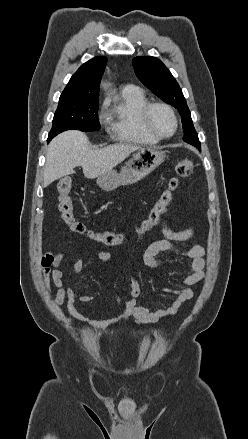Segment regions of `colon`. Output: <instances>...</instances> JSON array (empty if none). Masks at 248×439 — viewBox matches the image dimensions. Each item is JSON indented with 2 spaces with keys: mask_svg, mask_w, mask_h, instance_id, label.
I'll list each match as a JSON object with an SVG mask.
<instances>
[{
  "mask_svg": "<svg viewBox=\"0 0 248 439\" xmlns=\"http://www.w3.org/2000/svg\"><path fill=\"white\" fill-rule=\"evenodd\" d=\"M194 169L192 161L184 159L175 166L174 175L169 179L166 188L161 192L158 200L148 212L146 218L136 229V234H142L157 225L167 211L173 199V192L178 188L180 179L189 177ZM72 182L69 178H62L58 183L59 211L62 220L75 234L82 235L99 245L113 247L122 244L126 236L117 231H96L87 229L74 215V207L70 196Z\"/></svg>",
  "mask_w": 248,
  "mask_h": 439,
  "instance_id": "1",
  "label": "colon"
}]
</instances>
